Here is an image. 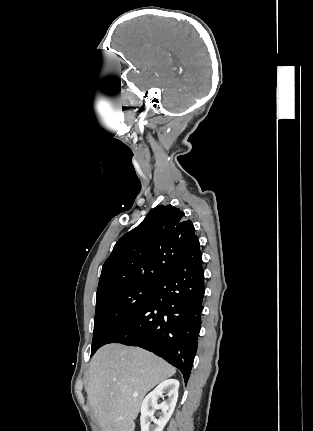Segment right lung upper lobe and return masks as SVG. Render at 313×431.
I'll list each match as a JSON object with an SVG mask.
<instances>
[{
  "mask_svg": "<svg viewBox=\"0 0 313 431\" xmlns=\"http://www.w3.org/2000/svg\"><path fill=\"white\" fill-rule=\"evenodd\" d=\"M183 217L172 205L157 206L121 237L103 265L96 300L125 288L158 285L197 239L192 222Z\"/></svg>",
  "mask_w": 313,
  "mask_h": 431,
  "instance_id": "right-lung-upper-lobe-1",
  "label": "right lung upper lobe"
}]
</instances>
